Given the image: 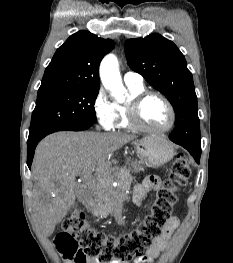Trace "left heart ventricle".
Listing matches in <instances>:
<instances>
[{"label": "left heart ventricle", "instance_id": "left-heart-ventricle-1", "mask_svg": "<svg viewBox=\"0 0 233 263\" xmlns=\"http://www.w3.org/2000/svg\"><path fill=\"white\" fill-rule=\"evenodd\" d=\"M140 116L144 124L152 128H162L170 120V114L166 105L156 96H151L144 101L140 110Z\"/></svg>", "mask_w": 233, "mask_h": 263}]
</instances>
